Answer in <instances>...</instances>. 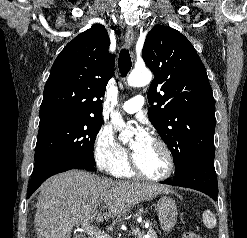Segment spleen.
Masks as SVG:
<instances>
[{
    "label": "spleen",
    "mask_w": 247,
    "mask_h": 238,
    "mask_svg": "<svg viewBox=\"0 0 247 238\" xmlns=\"http://www.w3.org/2000/svg\"><path fill=\"white\" fill-rule=\"evenodd\" d=\"M203 222L207 228L213 229L216 227L217 220L215 215L210 210H205L202 214Z\"/></svg>",
    "instance_id": "obj_1"
}]
</instances>
